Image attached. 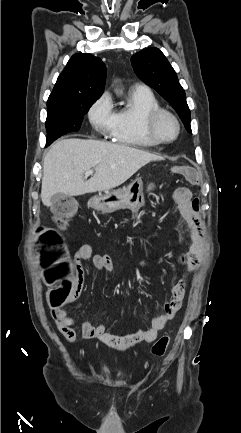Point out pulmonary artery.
<instances>
[{"label":"pulmonary artery","mask_w":241,"mask_h":433,"mask_svg":"<svg viewBox=\"0 0 241 433\" xmlns=\"http://www.w3.org/2000/svg\"><path fill=\"white\" fill-rule=\"evenodd\" d=\"M133 88L135 89H148L147 85L141 82H137L134 84Z\"/></svg>","instance_id":"obj_1"}]
</instances>
